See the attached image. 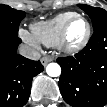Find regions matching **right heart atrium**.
<instances>
[{"label": "right heart atrium", "mask_w": 107, "mask_h": 107, "mask_svg": "<svg viewBox=\"0 0 107 107\" xmlns=\"http://www.w3.org/2000/svg\"><path fill=\"white\" fill-rule=\"evenodd\" d=\"M20 36L29 45H31L33 47H36V48L39 47L38 41L33 37L32 34H30L29 32H27L26 30L21 29L20 30Z\"/></svg>", "instance_id": "right-heart-atrium-1"}]
</instances>
